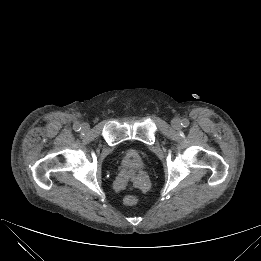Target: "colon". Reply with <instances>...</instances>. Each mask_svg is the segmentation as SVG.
I'll use <instances>...</instances> for the list:
<instances>
[{"mask_svg": "<svg viewBox=\"0 0 261 261\" xmlns=\"http://www.w3.org/2000/svg\"><path fill=\"white\" fill-rule=\"evenodd\" d=\"M137 202H138V198L136 195H133V194H129V195L125 196L123 199V203L126 206H133V205L137 204Z\"/></svg>", "mask_w": 261, "mask_h": 261, "instance_id": "obj_1", "label": "colon"}]
</instances>
